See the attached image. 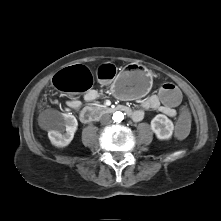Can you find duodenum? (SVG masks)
Instances as JSON below:
<instances>
[{"mask_svg": "<svg viewBox=\"0 0 221 221\" xmlns=\"http://www.w3.org/2000/svg\"><path fill=\"white\" fill-rule=\"evenodd\" d=\"M116 111H122L128 115L132 114L131 109L124 105L110 107H87L81 111L80 120L83 123H90L99 120L104 114H109Z\"/></svg>", "mask_w": 221, "mask_h": 221, "instance_id": "1", "label": "duodenum"}]
</instances>
